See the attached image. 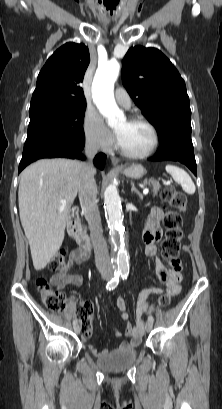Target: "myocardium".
<instances>
[{
  "mask_svg": "<svg viewBox=\"0 0 222 409\" xmlns=\"http://www.w3.org/2000/svg\"><path fill=\"white\" fill-rule=\"evenodd\" d=\"M128 121L132 122V123H141V124H144L145 126H147L150 129L151 133H152V137H153L152 144L149 147V149L146 150L143 153L129 152V151L125 150L124 148H122L119 145L118 142L116 143V149L123 156H125L127 158H131V159H144V158H147V157L151 156L155 152V150L157 149V147L159 145V133H158L157 128L155 127V125L151 121H149L148 119H146V118H144L142 116H131V117L128 118Z\"/></svg>",
  "mask_w": 222,
  "mask_h": 409,
  "instance_id": "myocardium-1",
  "label": "myocardium"
}]
</instances>
